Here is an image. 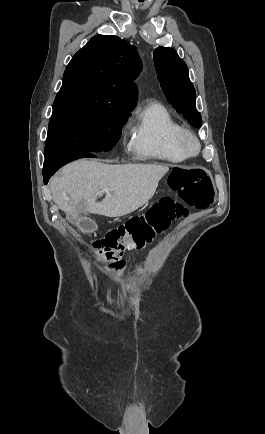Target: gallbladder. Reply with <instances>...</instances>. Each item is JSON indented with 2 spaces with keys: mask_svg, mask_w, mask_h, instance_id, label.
<instances>
[{
  "mask_svg": "<svg viewBox=\"0 0 265 434\" xmlns=\"http://www.w3.org/2000/svg\"><path fill=\"white\" fill-rule=\"evenodd\" d=\"M78 219V224L80 225L81 231H92L94 228H96L95 224L93 225L94 222L92 219L84 218L82 215L79 216Z\"/></svg>",
  "mask_w": 265,
  "mask_h": 434,
  "instance_id": "obj_1",
  "label": "gallbladder"
}]
</instances>
